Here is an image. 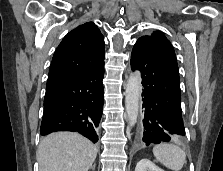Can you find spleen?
<instances>
[{
	"mask_svg": "<svg viewBox=\"0 0 223 171\" xmlns=\"http://www.w3.org/2000/svg\"><path fill=\"white\" fill-rule=\"evenodd\" d=\"M153 154L161 164L173 171H180L186 164V153L174 144L156 145Z\"/></svg>",
	"mask_w": 223,
	"mask_h": 171,
	"instance_id": "3e777b00",
	"label": "spleen"
}]
</instances>
